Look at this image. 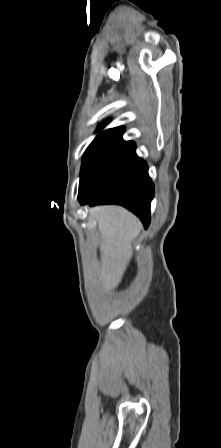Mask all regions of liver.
Here are the masks:
<instances>
[{"label":"liver","mask_w":221,"mask_h":448,"mask_svg":"<svg viewBox=\"0 0 221 448\" xmlns=\"http://www.w3.org/2000/svg\"><path fill=\"white\" fill-rule=\"evenodd\" d=\"M101 236L99 279L106 289L116 288L133 256L132 241L139 235V219L121 206L90 208Z\"/></svg>","instance_id":"obj_1"}]
</instances>
